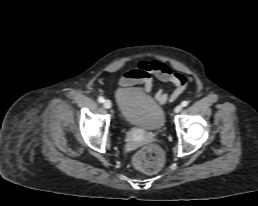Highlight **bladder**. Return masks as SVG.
<instances>
[{
    "label": "bladder",
    "mask_w": 258,
    "mask_h": 206,
    "mask_svg": "<svg viewBox=\"0 0 258 206\" xmlns=\"http://www.w3.org/2000/svg\"><path fill=\"white\" fill-rule=\"evenodd\" d=\"M115 96L121 117L126 123L148 131H158L163 127V107L142 89L119 88Z\"/></svg>",
    "instance_id": "31cf9c89"
}]
</instances>
